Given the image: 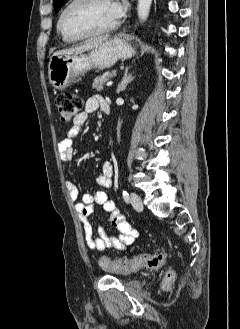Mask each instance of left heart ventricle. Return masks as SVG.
Segmentation results:
<instances>
[{
    "label": "left heart ventricle",
    "mask_w": 240,
    "mask_h": 329,
    "mask_svg": "<svg viewBox=\"0 0 240 329\" xmlns=\"http://www.w3.org/2000/svg\"><path fill=\"white\" fill-rule=\"evenodd\" d=\"M117 21L110 0H92L75 7L67 16L65 26L75 35L107 27Z\"/></svg>",
    "instance_id": "1"
}]
</instances>
